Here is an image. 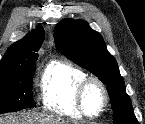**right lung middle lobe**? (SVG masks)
<instances>
[{
  "mask_svg": "<svg viewBox=\"0 0 145 124\" xmlns=\"http://www.w3.org/2000/svg\"><path fill=\"white\" fill-rule=\"evenodd\" d=\"M36 65L0 72V114L35 106L32 85Z\"/></svg>",
  "mask_w": 145,
  "mask_h": 124,
  "instance_id": "obj_1",
  "label": "right lung middle lobe"
}]
</instances>
